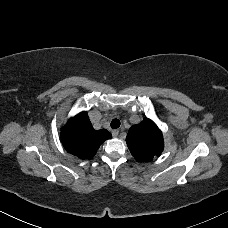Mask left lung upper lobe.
Wrapping results in <instances>:
<instances>
[{"label":"left lung upper lobe","mask_w":228,"mask_h":228,"mask_svg":"<svg viewBox=\"0 0 228 228\" xmlns=\"http://www.w3.org/2000/svg\"><path fill=\"white\" fill-rule=\"evenodd\" d=\"M126 142L134 158L139 161H151L155 156H160L164 148L161 131L148 118L129 129Z\"/></svg>","instance_id":"1"}]
</instances>
